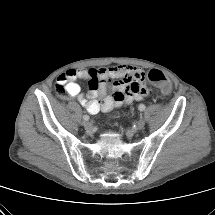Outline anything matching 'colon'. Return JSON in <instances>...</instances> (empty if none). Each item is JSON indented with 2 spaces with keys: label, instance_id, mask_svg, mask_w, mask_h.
Returning <instances> with one entry per match:
<instances>
[{
  "label": "colon",
  "instance_id": "1",
  "mask_svg": "<svg viewBox=\"0 0 215 215\" xmlns=\"http://www.w3.org/2000/svg\"><path fill=\"white\" fill-rule=\"evenodd\" d=\"M147 78L151 83L157 85L162 90V92L167 93L170 91L171 88L170 81L160 70L157 69L150 70L147 74ZM133 89L138 90V87L134 86ZM56 93L59 97L62 98L66 97L67 91L65 85L57 83Z\"/></svg>",
  "mask_w": 215,
  "mask_h": 215
}]
</instances>
